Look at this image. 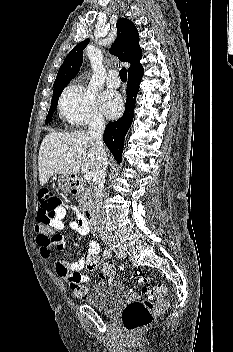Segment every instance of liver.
I'll return each mask as SVG.
<instances>
[{
	"label": "liver",
	"instance_id": "6515ba94",
	"mask_svg": "<svg viewBox=\"0 0 233 352\" xmlns=\"http://www.w3.org/2000/svg\"><path fill=\"white\" fill-rule=\"evenodd\" d=\"M97 158V147L88 132H51L43 139L39 151L40 185H45L56 174L71 176L81 170L93 175Z\"/></svg>",
	"mask_w": 233,
	"mask_h": 352
}]
</instances>
